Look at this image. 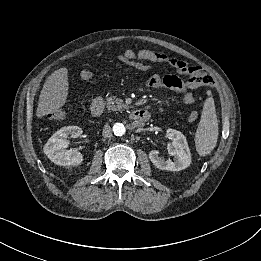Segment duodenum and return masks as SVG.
<instances>
[{
  "label": "duodenum",
  "mask_w": 261,
  "mask_h": 261,
  "mask_svg": "<svg viewBox=\"0 0 261 261\" xmlns=\"http://www.w3.org/2000/svg\"><path fill=\"white\" fill-rule=\"evenodd\" d=\"M103 112V101L98 98L94 100L91 104V114L95 117H98ZM150 117V113L145 109H136L132 111L131 118L136 126H140L145 123Z\"/></svg>",
  "instance_id": "410a0bca"
}]
</instances>
